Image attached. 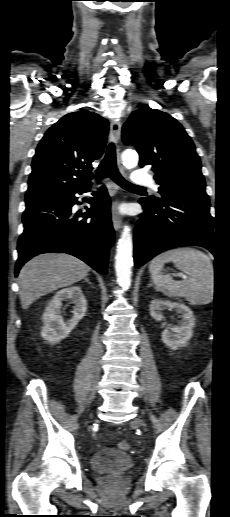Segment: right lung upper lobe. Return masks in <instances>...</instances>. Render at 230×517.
I'll use <instances>...</instances> for the list:
<instances>
[{
  "mask_svg": "<svg viewBox=\"0 0 230 517\" xmlns=\"http://www.w3.org/2000/svg\"><path fill=\"white\" fill-rule=\"evenodd\" d=\"M109 123L81 110L62 117L38 144L26 200L73 191L90 184L91 163L103 154Z\"/></svg>",
  "mask_w": 230,
  "mask_h": 517,
  "instance_id": "obj_1",
  "label": "right lung upper lobe"
}]
</instances>
